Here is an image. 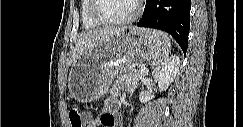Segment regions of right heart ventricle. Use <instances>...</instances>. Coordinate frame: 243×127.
<instances>
[{
    "instance_id": "e07e8e85",
    "label": "right heart ventricle",
    "mask_w": 243,
    "mask_h": 127,
    "mask_svg": "<svg viewBox=\"0 0 243 127\" xmlns=\"http://www.w3.org/2000/svg\"><path fill=\"white\" fill-rule=\"evenodd\" d=\"M92 0H82L80 4V12L83 26L86 29H95L101 26L91 15Z\"/></svg>"
}]
</instances>
